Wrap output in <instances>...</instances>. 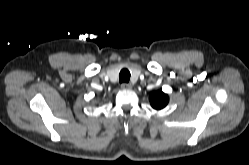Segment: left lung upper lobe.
<instances>
[{"label":"left lung upper lobe","instance_id":"obj_1","mask_svg":"<svg viewBox=\"0 0 249 165\" xmlns=\"http://www.w3.org/2000/svg\"><path fill=\"white\" fill-rule=\"evenodd\" d=\"M150 104L151 106L156 109L160 110L164 108L168 102H169V97L167 94L163 93L161 90H158L156 92H153L149 96Z\"/></svg>","mask_w":249,"mask_h":165}]
</instances>
